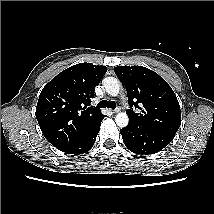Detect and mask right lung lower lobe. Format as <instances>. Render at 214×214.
<instances>
[{"mask_svg":"<svg viewBox=\"0 0 214 214\" xmlns=\"http://www.w3.org/2000/svg\"><path fill=\"white\" fill-rule=\"evenodd\" d=\"M104 117L105 116H103V118ZM102 119H100L91 129H89L75 144L62 151L74 155L83 154L89 151L95 143Z\"/></svg>","mask_w":214,"mask_h":214,"instance_id":"obj_1","label":"right lung lower lobe"}]
</instances>
